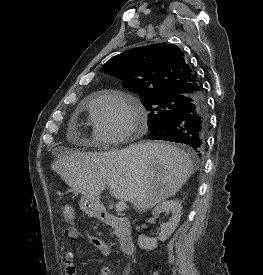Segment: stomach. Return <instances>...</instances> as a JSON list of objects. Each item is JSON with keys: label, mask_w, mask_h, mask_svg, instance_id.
Instances as JSON below:
<instances>
[{"label": "stomach", "mask_w": 263, "mask_h": 275, "mask_svg": "<svg viewBox=\"0 0 263 275\" xmlns=\"http://www.w3.org/2000/svg\"><path fill=\"white\" fill-rule=\"evenodd\" d=\"M80 209L86 214L98 218L101 212L100 202L95 198L82 197L79 202Z\"/></svg>", "instance_id": "stomach-1"}]
</instances>
